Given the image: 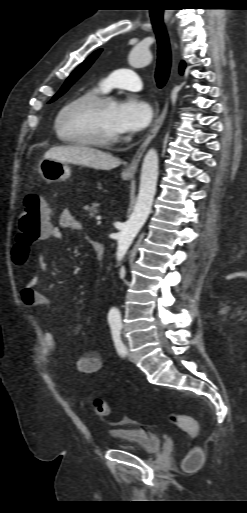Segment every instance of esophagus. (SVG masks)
<instances>
[{
    "label": "esophagus",
    "instance_id": "esophagus-1",
    "mask_svg": "<svg viewBox=\"0 0 247 513\" xmlns=\"http://www.w3.org/2000/svg\"><path fill=\"white\" fill-rule=\"evenodd\" d=\"M166 109H167V101L165 102V105L161 112L156 107L155 113H154V120L149 128V132H148L145 140L142 142V144L138 148L137 152L135 153L132 161L130 162L128 167L125 169L124 174L133 176L136 173L139 162H140L146 148L148 147V145L150 144L152 139L156 136L160 127L162 126V123H163V120L165 117V113H166Z\"/></svg>",
    "mask_w": 247,
    "mask_h": 513
}]
</instances>
